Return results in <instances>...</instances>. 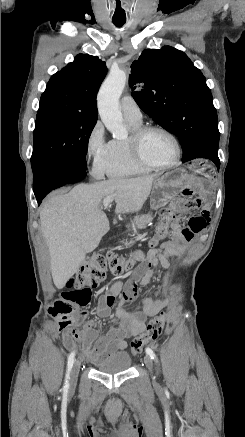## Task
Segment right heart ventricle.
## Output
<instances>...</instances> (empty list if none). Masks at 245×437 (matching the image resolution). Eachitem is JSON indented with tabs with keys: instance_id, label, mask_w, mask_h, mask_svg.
<instances>
[{
	"instance_id": "right-heart-ventricle-1",
	"label": "right heart ventricle",
	"mask_w": 245,
	"mask_h": 437,
	"mask_svg": "<svg viewBox=\"0 0 245 437\" xmlns=\"http://www.w3.org/2000/svg\"><path fill=\"white\" fill-rule=\"evenodd\" d=\"M130 129L133 131L140 127V123L127 120ZM151 168L139 164L132 157L127 139H113L110 141L108 159L104 172L110 178H127L147 174Z\"/></svg>"
}]
</instances>
